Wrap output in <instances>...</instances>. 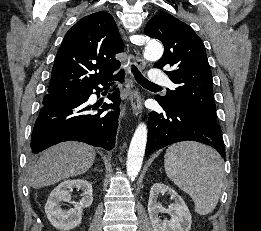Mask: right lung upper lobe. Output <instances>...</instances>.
<instances>
[{
	"label": "right lung upper lobe",
	"instance_id": "1",
	"mask_svg": "<svg viewBox=\"0 0 261 231\" xmlns=\"http://www.w3.org/2000/svg\"><path fill=\"white\" fill-rule=\"evenodd\" d=\"M123 50L124 43L109 13L96 12L83 17L63 39L47 95H77L111 79L120 67L114 56ZM93 71L98 72L93 74Z\"/></svg>",
	"mask_w": 261,
	"mask_h": 231
}]
</instances>
